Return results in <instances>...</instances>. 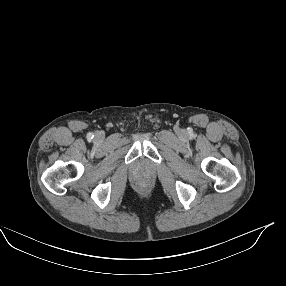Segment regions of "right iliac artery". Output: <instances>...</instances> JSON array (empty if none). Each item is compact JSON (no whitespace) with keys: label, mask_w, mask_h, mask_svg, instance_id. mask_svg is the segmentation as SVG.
Instances as JSON below:
<instances>
[{"label":"right iliac artery","mask_w":286,"mask_h":286,"mask_svg":"<svg viewBox=\"0 0 286 286\" xmlns=\"http://www.w3.org/2000/svg\"><path fill=\"white\" fill-rule=\"evenodd\" d=\"M94 136H93V134L92 133H90L89 135H88V138L89 139H92Z\"/></svg>","instance_id":"right-iliac-artery-1"}]
</instances>
